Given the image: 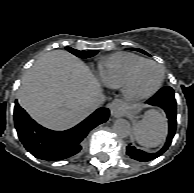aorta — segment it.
<instances>
[{"mask_svg":"<svg viewBox=\"0 0 194 193\" xmlns=\"http://www.w3.org/2000/svg\"><path fill=\"white\" fill-rule=\"evenodd\" d=\"M113 131L119 137L125 138L131 133V126L125 119H118L114 122Z\"/></svg>","mask_w":194,"mask_h":193,"instance_id":"1","label":"aorta"}]
</instances>
